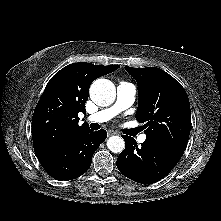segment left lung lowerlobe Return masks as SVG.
Here are the masks:
<instances>
[{"label": "left lung lower lobe", "instance_id": "1", "mask_svg": "<svg viewBox=\"0 0 221 221\" xmlns=\"http://www.w3.org/2000/svg\"><path fill=\"white\" fill-rule=\"evenodd\" d=\"M125 150L117 159V168L127 178L143 184H151L165 177L182 156L145 140L138 147L132 137L122 136Z\"/></svg>", "mask_w": 221, "mask_h": 221}]
</instances>
